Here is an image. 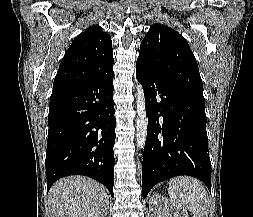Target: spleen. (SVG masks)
I'll return each instance as SVG.
<instances>
[{"label":"spleen","instance_id":"spleen-1","mask_svg":"<svg viewBox=\"0 0 253 217\" xmlns=\"http://www.w3.org/2000/svg\"><path fill=\"white\" fill-rule=\"evenodd\" d=\"M168 194L175 206L189 210L193 217H208L209 198L199 180L189 176L171 178Z\"/></svg>","mask_w":253,"mask_h":217}]
</instances>
